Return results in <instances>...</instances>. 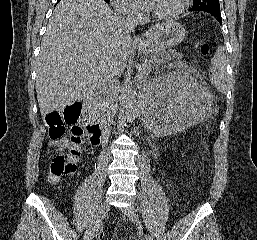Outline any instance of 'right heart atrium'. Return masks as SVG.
<instances>
[{
  "mask_svg": "<svg viewBox=\"0 0 257 240\" xmlns=\"http://www.w3.org/2000/svg\"><path fill=\"white\" fill-rule=\"evenodd\" d=\"M119 13L134 21H140L144 16L142 6L137 0H111Z\"/></svg>",
  "mask_w": 257,
  "mask_h": 240,
  "instance_id": "1",
  "label": "right heart atrium"
}]
</instances>
